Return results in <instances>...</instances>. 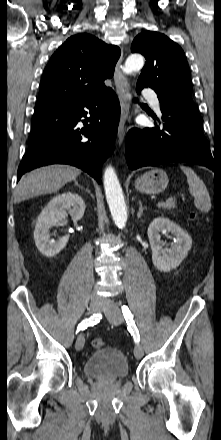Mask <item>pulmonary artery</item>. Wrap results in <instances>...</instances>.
<instances>
[{
	"label": "pulmonary artery",
	"instance_id": "e3ab8cb5",
	"mask_svg": "<svg viewBox=\"0 0 221 440\" xmlns=\"http://www.w3.org/2000/svg\"><path fill=\"white\" fill-rule=\"evenodd\" d=\"M143 96L150 101L155 110L160 111V102L154 90L145 89Z\"/></svg>",
	"mask_w": 221,
	"mask_h": 440
}]
</instances>
